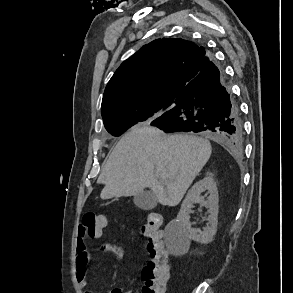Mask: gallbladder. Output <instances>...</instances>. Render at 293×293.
Returning <instances> with one entry per match:
<instances>
[{
	"instance_id": "bac80fb5",
	"label": "gallbladder",
	"mask_w": 293,
	"mask_h": 293,
	"mask_svg": "<svg viewBox=\"0 0 293 293\" xmlns=\"http://www.w3.org/2000/svg\"><path fill=\"white\" fill-rule=\"evenodd\" d=\"M133 202L142 210H151L157 206L158 200L152 192L142 191L134 196Z\"/></svg>"
}]
</instances>
